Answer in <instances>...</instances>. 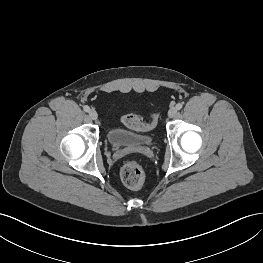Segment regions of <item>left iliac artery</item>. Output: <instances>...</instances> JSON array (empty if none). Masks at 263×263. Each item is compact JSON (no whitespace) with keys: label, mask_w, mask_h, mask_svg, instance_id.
I'll use <instances>...</instances> for the list:
<instances>
[{"label":"left iliac artery","mask_w":263,"mask_h":263,"mask_svg":"<svg viewBox=\"0 0 263 263\" xmlns=\"http://www.w3.org/2000/svg\"><path fill=\"white\" fill-rule=\"evenodd\" d=\"M182 107H183L182 103H178V104L176 105V109H177V110H180Z\"/></svg>","instance_id":"1"}]
</instances>
